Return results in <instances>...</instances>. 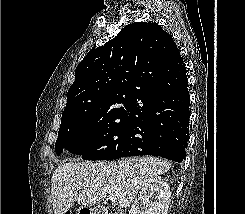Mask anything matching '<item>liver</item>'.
<instances>
[{
	"label": "liver",
	"mask_w": 245,
	"mask_h": 214,
	"mask_svg": "<svg viewBox=\"0 0 245 214\" xmlns=\"http://www.w3.org/2000/svg\"><path fill=\"white\" fill-rule=\"evenodd\" d=\"M170 166L166 160L156 157L63 163L51 179L54 214H65L75 202L85 207L99 205L102 199L112 194L118 195V207L126 209L148 181L166 173Z\"/></svg>",
	"instance_id": "obj_1"
}]
</instances>
